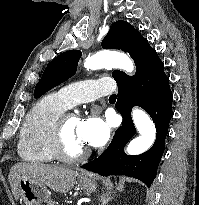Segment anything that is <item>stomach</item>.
Here are the masks:
<instances>
[{"label": "stomach", "instance_id": "stomach-1", "mask_svg": "<svg viewBox=\"0 0 199 205\" xmlns=\"http://www.w3.org/2000/svg\"><path fill=\"white\" fill-rule=\"evenodd\" d=\"M78 184L81 189L87 192L95 191L97 187L96 178L87 175H80ZM19 193L26 205H54L45 186L35 180L21 179L19 181Z\"/></svg>", "mask_w": 199, "mask_h": 205}]
</instances>
